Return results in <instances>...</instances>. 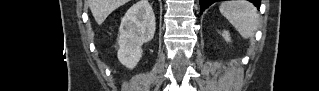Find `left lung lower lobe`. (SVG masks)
Returning a JSON list of instances; mask_svg holds the SVG:
<instances>
[{
	"label": "left lung lower lobe",
	"mask_w": 319,
	"mask_h": 91,
	"mask_svg": "<svg viewBox=\"0 0 319 91\" xmlns=\"http://www.w3.org/2000/svg\"><path fill=\"white\" fill-rule=\"evenodd\" d=\"M217 0H199L200 2V14H202V12L211 4H213L214 2H216ZM252 3H254V5L259 8L260 6V0H248Z\"/></svg>",
	"instance_id": "left-lung-lower-lobe-1"
}]
</instances>
